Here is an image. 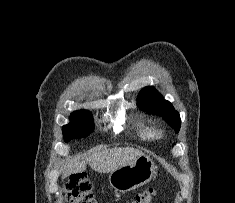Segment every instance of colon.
I'll return each instance as SVG.
<instances>
[{
	"label": "colon",
	"mask_w": 235,
	"mask_h": 203,
	"mask_svg": "<svg viewBox=\"0 0 235 203\" xmlns=\"http://www.w3.org/2000/svg\"><path fill=\"white\" fill-rule=\"evenodd\" d=\"M68 203H97L90 180L83 174H74L65 185ZM155 191L148 188L138 193L130 203H152Z\"/></svg>",
	"instance_id": "colon-1"
}]
</instances>
